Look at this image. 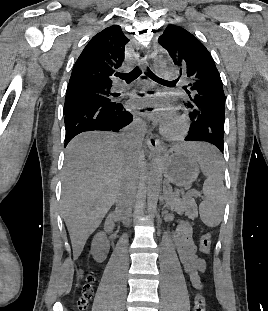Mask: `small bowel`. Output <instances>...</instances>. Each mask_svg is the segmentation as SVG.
Here are the masks:
<instances>
[{
    "instance_id": "small-bowel-1",
    "label": "small bowel",
    "mask_w": 268,
    "mask_h": 311,
    "mask_svg": "<svg viewBox=\"0 0 268 311\" xmlns=\"http://www.w3.org/2000/svg\"><path fill=\"white\" fill-rule=\"evenodd\" d=\"M172 238L185 274L194 288H201L200 274L205 271L206 263L197 255V246L190 223L182 220L172 233Z\"/></svg>"
}]
</instances>
